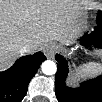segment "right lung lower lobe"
Returning a JSON list of instances; mask_svg holds the SVG:
<instances>
[{"mask_svg":"<svg viewBox=\"0 0 102 102\" xmlns=\"http://www.w3.org/2000/svg\"><path fill=\"white\" fill-rule=\"evenodd\" d=\"M45 59L41 52L27 55L18 59L8 70L1 72L0 90L3 101H21L27 92L28 83Z\"/></svg>","mask_w":102,"mask_h":102,"instance_id":"obj_1","label":"right lung lower lobe"}]
</instances>
